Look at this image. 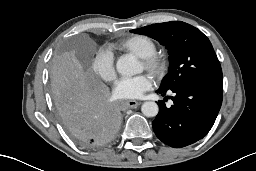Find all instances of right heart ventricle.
Masks as SVG:
<instances>
[{"instance_id":"e07e8e85","label":"right heart ventricle","mask_w":256,"mask_h":171,"mask_svg":"<svg viewBox=\"0 0 256 171\" xmlns=\"http://www.w3.org/2000/svg\"><path fill=\"white\" fill-rule=\"evenodd\" d=\"M115 47L132 53L139 58L149 56L156 52L155 42L145 35H132L114 45Z\"/></svg>"}]
</instances>
